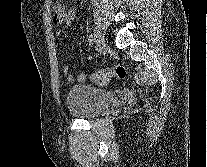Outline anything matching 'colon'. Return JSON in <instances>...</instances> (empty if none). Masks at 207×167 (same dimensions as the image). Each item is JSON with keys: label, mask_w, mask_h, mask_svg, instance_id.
<instances>
[{"label": "colon", "mask_w": 207, "mask_h": 167, "mask_svg": "<svg viewBox=\"0 0 207 167\" xmlns=\"http://www.w3.org/2000/svg\"><path fill=\"white\" fill-rule=\"evenodd\" d=\"M125 77L126 69L121 65L113 68L98 69L90 75L91 81L98 85H107L114 78L122 80Z\"/></svg>", "instance_id": "obj_1"}]
</instances>
